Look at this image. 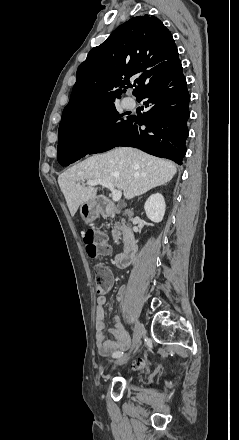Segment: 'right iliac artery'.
I'll list each match as a JSON object with an SVG mask.
<instances>
[{
	"label": "right iliac artery",
	"instance_id": "right-iliac-artery-1",
	"mask_svg": "<svg viewBox=\"0 0 239 440\" xmlns=\"http://www.w3.org/2000/svg\"><path fill=\"white\" fill-rule=\"evenodd\" d=\"M121 356H123V352H116L113 354V357L115 358H120Z\"/></svg>",
	"mask_w": 239,
	"mask_h": 440
}]
</instances>
